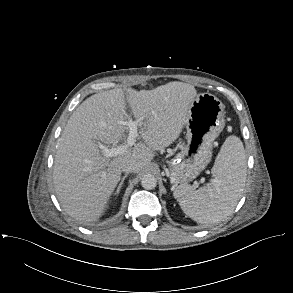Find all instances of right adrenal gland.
I'll return each mask as SVG.
<instances>
[{
	"instance_id": "right-adrenal-gland-1",
	"label": "right adrenal gland",
	"mask_w": 293,
	"mask_h": 293,
	"mask_svg": "<svg viewBox=\"0 0 293 293\" xmlns=\"http://www.w3.org/2000/svg\"><path fill=\"white\" fill-rule=\"evenodd\" d=\"M126 177H127V175H125V176L122 177V180H121L120 184L117 187L116 194H118L120 192V189L122 188L123 183H124Z\"/></svg>"
}]
</instances>
